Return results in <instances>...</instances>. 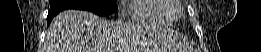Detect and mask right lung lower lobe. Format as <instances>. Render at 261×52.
<instances>
[{
	"label": "right lung lower lobe",
	"instance_id": "98d812e1",
	"mask_svg": "<svg viewBox=\"0 0 261 52\" xmlns=\"http://www.w3.org/2000/svg\"><path fill=\"white\" fill-rule=\"evenodd\" d=\"M60 11V9H50L49 12H48V16H47V26H49L51 20L53 19V17L55 15H57Z\"/></svg>",
	"mask_w": 261,
	"mask_h": 52
}]
</instances>
